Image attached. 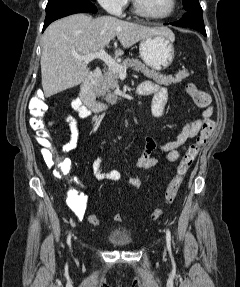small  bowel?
I'll return each instance as SVG.
<instances>
[{
	"label": "small bowel",
	"mask_w": 240,
	"mask_h": 287,
	"mask_svg": "<svg viewBox=\"0 0 240 287\" xmlns=\"http://www.w3.org/2000/svg\"><path fill=\"white\" fill-rule=\"evenodd\" d=\"M138 93L144 96H152L151 111L153 115L161 116L165 113L168 100V92L165 87L160 86L152 81H145L139 85ZM71 106L82 118H86L91 115V110L85 106L82 100L79 98H72ZM212 114L213 108L209 106L206 107L202 112L201 118L186 123L175 140L168 141L163 144H158L154 137H148L145 141L143 153L135 163V166L142 169H151L156 167L161 162V160L166 162L177 161L181 157V152L185 149L186 144L197 136L203 126V122L210 119ZM61 119L66 121L70 128V139L61 148V152L66 154L75 150L78 146V125L75 118H73L71 115H63ZM57 121V119H52L48 124L49 126H54ZM37 141L43 147V159L46 163L52 164L51 143L49 141H43L38 138ZM156 149H159L163 153L162 159L152 156V152ZM103 165L104 150L102 149L92 164L93 176L100 181H116L121 178L120 171L116 169L105 170ZM130 182L134 186L139 187L142 184V178L135 176L130 178ZM87 201L88 197L83 193H74L68 197V206L78 219H82L84 217L87 208Z\"/></svg>",
	"instance_id": "obj_1"
}]
</instances>
